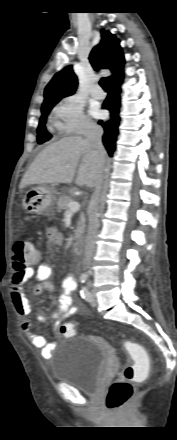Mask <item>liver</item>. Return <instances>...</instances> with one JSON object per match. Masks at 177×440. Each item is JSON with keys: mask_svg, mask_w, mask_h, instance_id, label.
Instances as JSON below:
<instances>
[{"mask_svg": "<svg viewBox=\"0 0 177 440\" xmlns=\"http://www.w3.org/2000/svg\"><path fill=\"white\" fill-rule=\"evenodd\" d=\"M107 154H99L90 141L73 136L47 146L24 174L20 188L35 184L72 183L95 187L103 175ZM80 162V163H79Z\"/></svg>", "mask_w": 177, "mask_h": 440, "instance_id": "6515ba94", "label": "liver"}]
</instances>
